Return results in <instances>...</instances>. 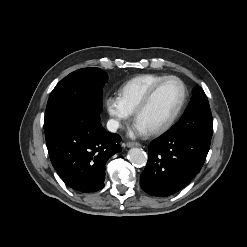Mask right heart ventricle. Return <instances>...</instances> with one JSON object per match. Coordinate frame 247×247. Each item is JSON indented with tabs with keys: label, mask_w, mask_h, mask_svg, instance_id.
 I'll use <instances>...</instances> for the list:
<instances>
[{
	"label": "right heart ventricle",
	"mask_w": 247,
	"mask_h": 247,
	"mask_svg": "<svg viewBox=\"0 0 247 247\" xmlns=\"http://www.w3.org/2000/svg\"><path fill=\"white\" fill-rule=\"evenodd\" d=\"M165 77L159 74H142L125 82L119 89V98L125 108L133 113L150 88Z\"/></svg>",
	"instance_id": "e07e8e85"
}]
</instances>
